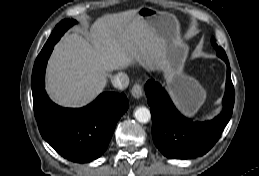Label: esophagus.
I'll return each mask as SVG.
<instances>
[{
    "mask_svg": "<svg viewBox=\"0 0 259 176\" xmlns=\"http://www.w3.org/2000/svg\"><path fill=\"white\" fill-rule=\"evenodd\" d=\"M131 94L134 98L139 99L143 94V87L140 83L134 84L131 90Z\"/></svg>",
    "mask_w": 259,
    "mask_h": 176,
    "instance_id": "obj_1",
    "label": "esophagus"
}]
</instances>
